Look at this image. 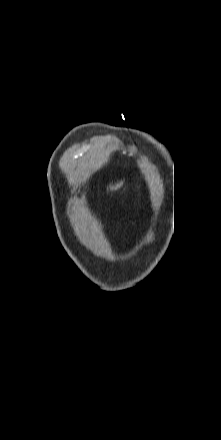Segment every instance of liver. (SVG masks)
<instances>
[{
    "label": "liver",
    "instance_id": "obj_1",
    "mask_svg": "<svg viewBox=\"0 0 221 440\" xmlns=\"http://www.w3.org/2000/svg\"><path fill=\"white\" fill-rule=\"evenodd\" d=\"M122 185V182L117 183L115 186H110L111 190L117 189L118 187H120Z\"/></svg>",
    "mask_w": 221,
    "mask_h": 440
}]
</instances>
